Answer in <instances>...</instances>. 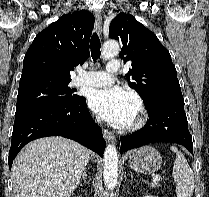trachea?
I'll list each match as a JSON object with an SVG mask.
<instances>
[{
  "mask_svg": "<svg viewBox=\"0 0 209 197\" xmlns=\"http://www.w3.org/2000/svg\"><path fill=\"white\" fill-rule=\"evenodd\" d=\"M90 47H91V56L93 60H97L98 58H100L101 43L97 33H93L90 41Z\"/></svg>",
  "mask_w": 209,
  "mask_h": 197,
  "instance_id": "trachea-1",
  "label": "trachea"
}]
</instances>
